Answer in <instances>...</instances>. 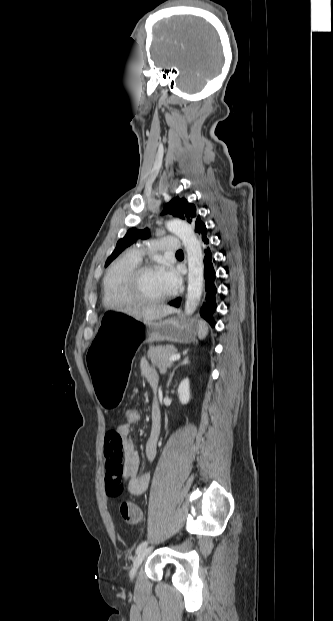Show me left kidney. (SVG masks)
<instances>
[{
  "instance_id": "5707ae66",
  "label": "left kidney",
  "mask_w": 333,
  "mask_h": 621,
  "mask_svg": "<svg viewBox=\"0 0 333 621\" xmlns=\"http://www.w3.org/2000/svg\"><path fill=\"white\" fill-rule=\"evenodd\" d=\"M179 400L182 404H187L190 400V382L184 379L178 387Z\"/></svg>"
}]
</instances>
